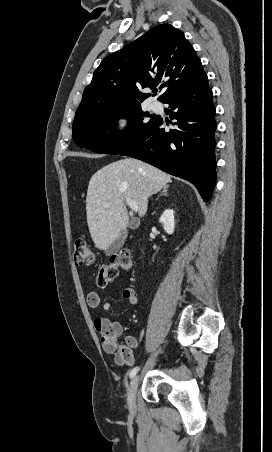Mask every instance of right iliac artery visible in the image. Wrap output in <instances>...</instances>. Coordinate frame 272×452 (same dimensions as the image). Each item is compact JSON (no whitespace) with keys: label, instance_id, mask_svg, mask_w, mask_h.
<instances>
[{"label":"right iliac artery","instance_id":"82829eb1","mask_svg":"<svg viewBox=\"0 0 272 452\" xmlns=\"http://www.w3.org/2000/svg\"><path fill=\"white\" fill-rule=\"evenodd\" d=\"M138 370H139V367L133 368L130 372V378H133L136 375V373L138 372Z\"/></svg>","mask_w":272,"mask_h":452}]
</instances>
